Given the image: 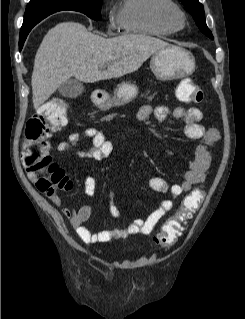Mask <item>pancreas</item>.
<instances>
[{"label":"pancreas","instance_id":"cf45deb5","mask_svg":"<svg viewBox=\"0 0 245 319\" xmlns=\"http://www.w3.org/2000/svg\"><path fill=\"white\" fill-rule=\"evenodd\" d=\"M149 93H150V91L148 90V91L146 92V94H142L141 96H142V97H147V95H148ZM155 95H156V93H153L152 95H150V96L147 97V98L153 99Z\"/></svg>","mask_w":245,"mask_h":319}]
</instances>
